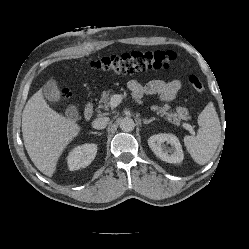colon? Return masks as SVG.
<instances>
[{"label":"colon","instance_id":"1","mask_svg":"<svg viewBox=\"0 0 249 249\" xmlns=\"http://www.w3.org/2000/svg\"><path fill=\"white\" fill-rule=\"evenodd\" d=\"M175 60V54L171 51L162 50H138L121 55H111L91 61L93 69L115 73H134L150 69H169ZM190 86L201 92L204 89L202 80L195 74L188 77ZM61 96L64 99L70 97L68 89H62Z\"/></svg>","mask_w":249,"mask_h":249}]
</instances>
